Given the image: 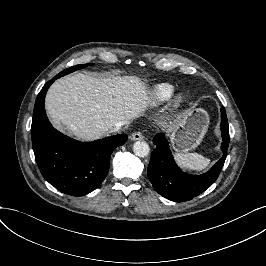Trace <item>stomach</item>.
Returning a JSON list of instances; mask_svg holds the SVG:
<instances>
[{
	"label": "stomach",
	"instance_id": "stomach-1",
	"mask_svg": "<svg viewBox=\"0 0 266 266\" xmlns=\"http://www.w3.org/2000/svg\"><path fill=\"white\" fill-rule=\"evenodd\" d=\"M209 124L208 114L203 109L186 113L181 124L172 134V143L179 152H187L199 145Z\"/></svg>",
	"mask_w": 266,
	"mask_h": 266
}]
</instances>
